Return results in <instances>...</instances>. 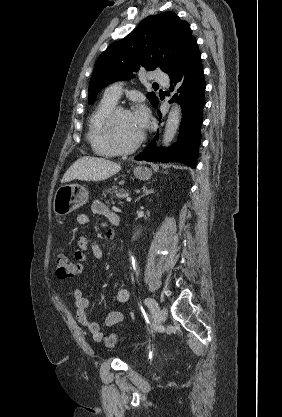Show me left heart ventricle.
Returning a JSON list of instances; mask_svg holds the SVG:
<instances>
[{
    "label": "left heart ventricle",
    "instance_id": "left-heart-ventricle-1",
    "mask_svg": "<svg viewBox=\"0 0 282 417\" xmlns=\"http://www.w3.org/2000/svg\"><path fill=\"white\" fill-rule=\"evenodd\" d=\"M99 131L106 135L107 129L102 120L98 127ZM142 128L139 126L136 117L133 114H122L115 122L114 135L121 144L134 143L141 136Z\"/></svg>",
    "mask_w": 282,
    "mask_h": 417
}]
</instances>
